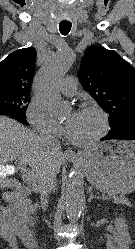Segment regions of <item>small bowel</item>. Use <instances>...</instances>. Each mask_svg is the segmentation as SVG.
<instances>
[{
  "label": "small bowel",
  "mask_w": 135,
  "mask_h": 249,
  "mask_svg": "<svg viewBox=\"0 0 135 249\" xmlns=\"http://www.w3.org/2000/svg\"><path fill=\"white\" fill-rule=\"evenodd\" d=\"M23 226L13 207L0 205V236L10 244L11 249H19L17 237L23 235Z\"/></svg>",
  "instance_id": "obj_1"
}]
</instances>
